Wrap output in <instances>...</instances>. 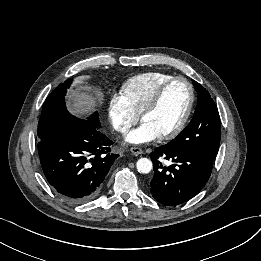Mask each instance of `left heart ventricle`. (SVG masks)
<instances>
[{"mask_svg": "<svg viewBox=\"0 0 261 261\" xmlns=\"http://www.w3.org/2000/svg\"><path fill=\"white\" fill-rule=\"evenodd\" d=\"M188 101L187 85L184 82H176L166 91L159 108L147 115L143 122L162 136L179 124L187 109Z\"/></svg>", "mask_w": 261, "mask_h": 261, "instance_id": "obj_1", "label": "left heart ventricle"}]
</instances>
